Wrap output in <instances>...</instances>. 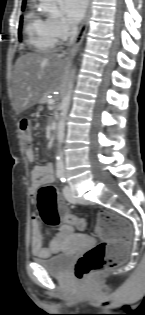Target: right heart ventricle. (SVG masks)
<instances>
[{
    "mask_svg": "<svg viewBox=\"0 0 145 315\" xmlns=\"http://www.w3.org/2000/svg\"><path fill=\"white\" fill-rule=\"evenodd\" d=\"M25 33L27 44L36 52H47L57 44V39L48 24V18L34 8L26 16Z\"/></svg>",
    "mask_w": 145,
    "mask_h": 315,
    "instance_id": "obj_1",
    "label": "right heart ventricle"
}]
</instances>
